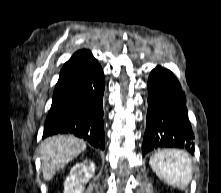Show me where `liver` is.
I'll list each match as a JSON object with an SVG mask.
<instances>
[{"label": "liver", "instance_id": "obj_1", "mask_svg": "<svg viewBox=\"0 0 221 193\" xmlns=\"http://www.w3.org/2000/svg\"><path fill=\"white\" fill-rule=\"evenodd\" d=\"M86 148L84 141L73 136L56 135L45 139L40 148L42 174L50 180Z\"/></svg>", "mask_w": 221, "mask_h": 193}]
</instances>
